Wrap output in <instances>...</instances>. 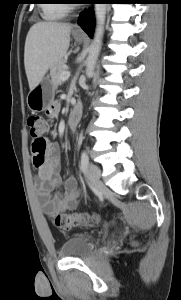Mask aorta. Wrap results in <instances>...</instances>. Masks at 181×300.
<instances>
[{
    "instance_id": "obj_1",
    "label": "aorta",
    "mask_w": 181,
    "mask_h": 300,
    "mask_svg": "<svg viewBox=\"0 0 181 300\" xmlns=\"http://www.w3.org/2000/svg\"><path fill=\"white\" fill-rule=\"evenodd\" d=\"M107 4H95L94 13L96 19V26L91 45L88 48V57L86 59V75L92 76L96 66V62L102 47L104 36V25L106 18Z\"/></svg>"
}]
</instances>
